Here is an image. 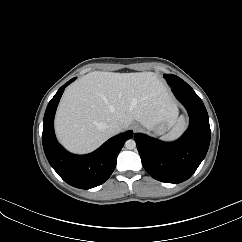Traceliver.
Returning <instances> with one entry per match:
<instances>
[{"label": "liver", "mask_w": 242, "mask_h": 242, "mask_svg": "<svg viewBox=\"0 0 242 242\" xmlns=\"http://www.w3.org/2000/svg\"><path fill=\"white\" fill-rule=\"evenodd\" d=\"M177 106L167 87L152 72L94 71L70 85L57 109L59 141L75 153L90 152L112 135L110 123L126 130L136 120L152 129L163 120H176Z\"/></svg>", "instance_id": "6515ba94"}]
</instances>
